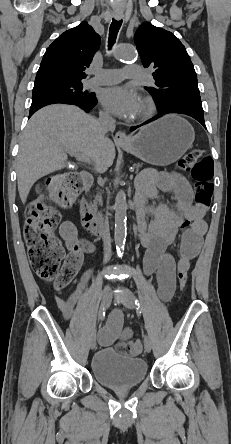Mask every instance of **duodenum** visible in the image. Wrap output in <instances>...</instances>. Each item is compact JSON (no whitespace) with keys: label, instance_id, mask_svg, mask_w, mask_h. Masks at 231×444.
Segmentation results:
<instances>
[{"label":"duodenum","instance_id":"410a0bca","mask_svg":"<svg viewBox=\"0 0 231 444\" xmlns=\"http://www.w3.org/2000/svg\"><path fill=\"white\" fill-rule=\"evenodd\" d=\"M81 179L83 181L84 187L86 190H89L92 186L93 180L92 177L88 173H83L81 175ZM81 216H82V223L83 226L87 229V231L94 236H103L101 233L105 230H102L100 227L103 225V221L100 217H96L88 204L83 201L82 202V208H81ZM135 218L138 221L141 219V214L135 213Z\"/></svg>","mask_w":231,"mask_h":444}]
</instances>
